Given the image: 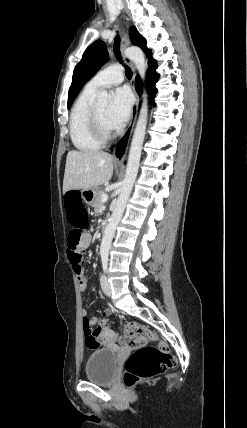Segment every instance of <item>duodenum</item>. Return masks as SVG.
<instances>
[{"instance_id": "duodenum-1", "label": "duodenum", "mask_w": 247, "mask_h": 428, "mask_svg": "<svg viewBox=\"0 0 247 428\" xmlns=\"http://www.w3.org/2000/svg\"><path fill=\"white\" fill-rule=\"evenodd\" d=\"M107 226H108V221H104L103 224H102V232L103 233L106 231Z\"/></svg>"}]
</instances>
